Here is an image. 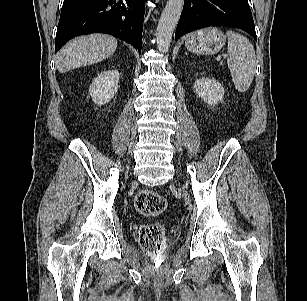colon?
<instances>
[{"label":"colon","mask_w":307,"mask_h":301,"mask_svg":"<svg viewBox=\"0 0 307 301\" xmlns=\"http://www.w3.org/2000/svg\"><path fill=\"white\" fill-rule=\"evenodd\" d=\"M136 210L146 217H157L166 208V200L156 191L143 190L135 197ZM141 247L152 255L159 254L165 246V230L159 223L144 224L139 228Z\"/></svg>","instance_id":"colon-1"}]
</instances>
